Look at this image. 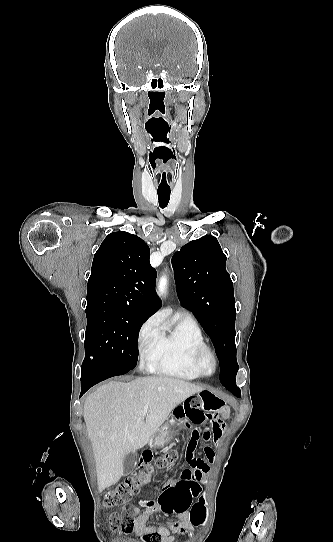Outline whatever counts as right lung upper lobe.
<instances>
[{"instance_id": "right-lung-upper-lobe-1", "label": "right lung upper lobe", "mask_w": 333, "mask_h": 542, "mask_svg": "<svg viewBox=\"0 0 333 542\" xmlns=\"http://www.w3.org/2000/svg\"><path fill=\"white\" fill-rule=\"evenodd\" d=\"M149 257L148 245L136 235L109 234L94 255L87 308L114 306L153 315L161 300L155 292L156 271Z\"/></svg>"}]
</instances>
